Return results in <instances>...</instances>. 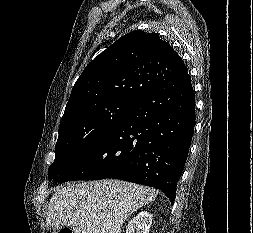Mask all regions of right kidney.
<instances>
[{
  "label": "right kidney",
  "instance_id": "obj_1",
  "mask_svg": "<svg viewBox=\"0 0 253 233\" xmlns=\"http://www.w3.org/2000/svg\"><path fill=\"white\" fill-rule=\"evenodd\" d=\"M151 224L152 215L147 211H141L129 221L126 233H149Z\"/></svg>",
  "mask_w": 253,
  "mask_h": 233
}]
</instances>
